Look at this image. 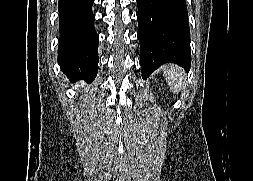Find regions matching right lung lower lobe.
<instances>
[{
	"instance_id": "98d812e1",
	"label": "right lung lower lobe",
	"mask_w": 253,
	"mask_h": 181,
	"mask_svg": "<svg viewBox=\"0 0 253 181\" xmlns=\"http://www.w3.org/2000/svg\"><path fill=\"white\" fill-rule=\"evenodd\" d=\"M93 0H59L58 63L71 79L92 82L98 71V35Z\"/></svg>"
}]
</instances>
